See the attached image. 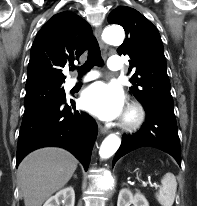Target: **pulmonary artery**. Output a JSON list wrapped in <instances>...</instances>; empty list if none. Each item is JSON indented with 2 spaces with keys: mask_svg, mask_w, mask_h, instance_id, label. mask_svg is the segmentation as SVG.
<instances>
[{
  "mask_svg": "<svg viewBox=\"0 0 197 206\" xmlns=\"http://www.w3.org/2000/svg\"><path fill=\"white\" fill-rule=\"evenodd\" d=\"M108 67L112 71H120L122 69L121 59L119 57H111L108 61ZM98 77L97 73H90L87 74L82 80L83 81H90ZM79 81L77 79H70L67 82V86L69 88L74 87Z\"/></svg>",
  "mask_w": 197,
  "mask_h": 206,
  "instance_id": "obj_1",
  "label": "pulmonary artery"
}]
</instances>
